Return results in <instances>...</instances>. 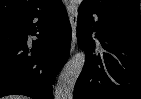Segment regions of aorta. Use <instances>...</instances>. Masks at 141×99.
<instances>
[{"instance_id":"aorta-1","label":"aorta","mask_w":141,"mask_h":99,"mask_svg":"<svg viewBox=\"0 0 141 99\" xmlns=\"http://www.w3.org/2000/svg\"><path fill=\"white\" fill-rule=\"evenodd\" d=\"M76 5L81 4V0H74ZM84 51L77 52L62 69L54 94V99H72L76 81L85 64Z\"/></svg>"}]
</instances>
